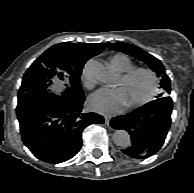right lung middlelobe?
Listing matches in <instances>:
<instances>
[{
    "mask_svg": "<svg viewBox=\"0 0 194 193\" xmlns=\"http://www.w3.org/2000/svg\"><path fill=\"white\" fill-rule=\"evenodd\" d=\"M81 68L69 69L65 73L68 74L70 86L67 87L62 96L49 95L46 92L47 82L48 85L52 84V78L56 76L58 79L63 80L65 73L58 74H43L40 71L27 70L24 74L22 85L18 93V104L46 100V99H68L78 98L83 96V91L80 86Z\"/></svg>",
    "mask_w": 194,
    "mask_h": 193,
    "instance_id": "1",
    "label": "right lung middle lobe"
}]
</instances>
